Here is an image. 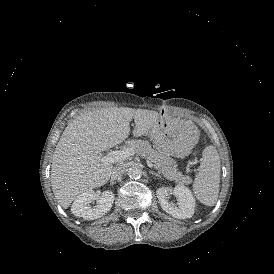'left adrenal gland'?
<instances>
[{"mask_svg":"<svg viewBox=\"0 0 274 274\" xmlns=\"http://www.w3.org/2000/svg\"><path fill=\"white\" fill-rule=\"evenodd\" d=\"M149 173L150 174H153V175H155V176H157V177H161V175L159 174V173H156L155 171H149Z\"/></svg>","mask_w":274,"mask_h":274,"instance_id":"a2214340","label":"left adrenal gland"}]
</instances>
